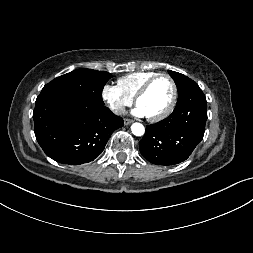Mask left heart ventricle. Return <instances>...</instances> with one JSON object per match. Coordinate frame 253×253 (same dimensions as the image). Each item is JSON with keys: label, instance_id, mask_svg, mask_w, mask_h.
Here are the masks:
<instances>
[{"label": "left heart ventricle", "instance_id": "left-heart-ventricle-1", "mask_svg": "<svg viewBox=\"0 0 253 253\" xmlns=\"http://www.w3.org/2000/svg\"><path fill=\"white\" fill-rule=\"evenodd\" d=\"M172 97V87L167 78H159L149 88L147 93L138 100L139 106L147 117L162 113L169 105Z\"/></svg>", "mask_w": 253, "mask_h": 253}]
</instances>
